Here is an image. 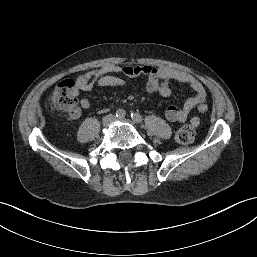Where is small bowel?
<instances>
[{"instance_id":"small-bowel-1","label":"small bowel","mask_w":257,"mask_h":257,"mask_svg":"<svg viewBox=\"0 0 257 257\" xmlns=\"http://www.w3.org/2000/svg\"><path fill=\"white\" fill-rule=\"evenodd\" d=\"M118 73L127 78L144 77L146 79L145 88L149 93H156L167 98L171 95V81H177L188 85L193 94L188 97L181 106L170 104L165 110V117L170 122H185L191 111L197 108V114L190 120L193 126L200 124V115L207 112L206 105V90L203 84L194 75L182 70L171 67L155 68L152 66H117L105 65L103 67L90 70L85 74L80 75L75 80V93L80 91L91 90L94 86L99 87H124L127 81L124 78L111 75ZM90 108L88 99H81L79 106L75 112H69L68 116L71 119H78L82 114V109Z\"/></svg>"}]
</instances>
